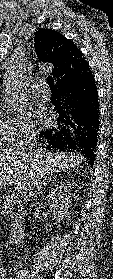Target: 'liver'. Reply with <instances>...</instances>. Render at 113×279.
I'll use <instances>...</instances> for the list:
<instances>
[{
    "mask_svg": "<svg viewBox=\"0 0 113 279\" xmlns=\"http://www.w3.org/2000/svg\"><path fill=\"white\" fill-rule=\"evenodd\" d=\"M83 158L66 152L24 153L16 147L0 150V188L15 183L26 187L31 176L42 179L45 175L60 170L76 168Z\"/></svg>",
    "mask_w": 113,
    "mask_h": 279,
    "instance_id": "liver-1",
    "label": "liver"
}]
</instances>
